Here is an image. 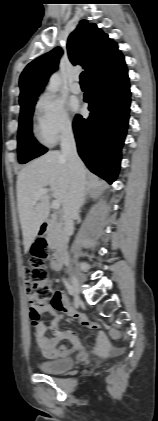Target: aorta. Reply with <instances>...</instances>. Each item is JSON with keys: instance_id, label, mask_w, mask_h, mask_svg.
I'll return each instance as SVG.
<instances>
[{"instance_id": "1", "label": "aorta", "mask_w": 158, "mask_h": 421, "mask_svg": "<svg viewBox=\"0 0 158 421\" xmlns=\"http://www.w3.org/2000/svg\"><path fill=\"white\" fill-rule=\"evenodd\" d=\"M60 78L58 74H53L48 82L46 90L50 93H56L59 90Z\"/></svg>"}]
</instances>
